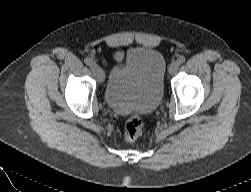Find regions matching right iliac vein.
Instances as JSON below:
<instances>
[{
  "label": "right iliac vein",
  "instance_id": "63e3f726",
  "mask_svg": "<svg viewBox=\"0 0 251 192\" xmlns=\"http://www.w3.org/2000/svg\"><path fill=\"white\" fill-rule=\"evenodd\" d=\"M91 70H92L95 78L97 79V81L100 82V83L103 82L104 73H103V70L101 69V67L94 62L91 65Z\"/></svg>",
  "mask_w": 251,
  "mask_h": 192
}]
</instances>
